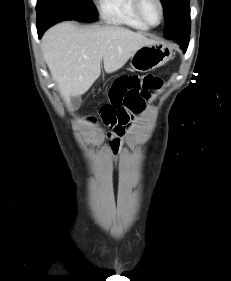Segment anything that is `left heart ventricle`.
<instances>
[{"mask_svg": "<svg viewBox=\"0 0 231 281\" xmlns=\"http://www.w3.org/2000/svg\"><path fill=\"white\" fill-rule=\"evenodd\" d=\"M143 11L147 19L156 24L160 20V8L155 0H143Z\"/></svg>", "mask_w": 231, "mask_h": 281, "instance_id": "1", "label": "left heart ventricle"}]
</instances>
